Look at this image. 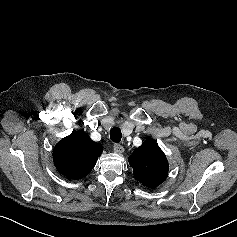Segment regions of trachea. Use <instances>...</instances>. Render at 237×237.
<instances>
[{
  "instance_id": "obj_1",
  "label": "trachea",
  "mask_w": 237,
  "mask_h": 237,
  "mask_svg": "<svg viewBox=\"0 0 237 237\" xmlns=\"http://www.w3.org/2000/svg\"><path fill=\"white\" fill-rule=\"evenodd\" d=\"M122 138L121 129L119 127H113L110 130V139L116 143H119Z\"/></svg>"
}]
</instances>
